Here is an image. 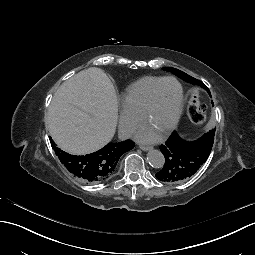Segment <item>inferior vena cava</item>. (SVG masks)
<instances>
[{
	"label": "inferior vena cava",
	"instance_id": "obj_1",
	"mask_svg": "<svg viewBox=\"0 0 255 255\" xmlns=\"http://www.w3.org/2000/svg\"><path fill=\"white\" fill-rule=\"evenodd\" d=\"M134 132L135 128L133 126H120L118 129L119 137L121 139H128Z\"/></svg>",
	"mask_w": 255,
	"mask_h": 255
}]
</instances>
